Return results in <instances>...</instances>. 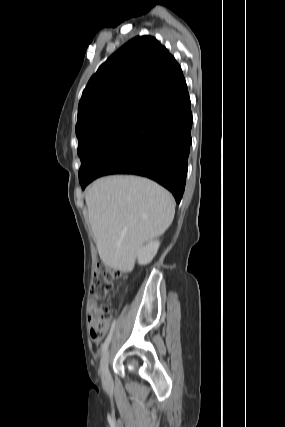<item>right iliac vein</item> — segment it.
<instances>
[{
  "mask_svg": "<svg viewBox=\"0 0 285 427\" xmlns=\"http://www.w3.org/2000/svg\"><path fill=\"white\" fill-rule=\"evenodd\" d=\"M108 363H109V351L106 350L104 352V355L101 360V365H100L102 379L106 384L110 383V373L108 369Z\"/></svg>",
  "mask_w": 285,
  "mask_h": 427,
  "instance_id": "obj_1",
  "label": "right iliac vein"
}]
</instances>
